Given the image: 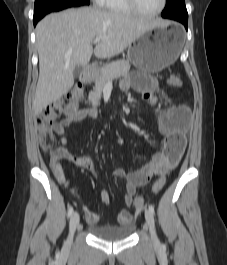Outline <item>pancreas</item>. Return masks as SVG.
I'll return each mask as SVG.
<instances>
[{
	"mask_svg": "<svg viewBox=\"0 0 227 265\" xmlns=\"http://www.w3.org/2000/svg\"><path fill=\"white\" fill-rule=\"evenodd\" d=\"M129 70H130V63L128 60L125 59L113 61L109 64L104 65L99 70L98 76L95 81V87L89 95L91 101L98 102L101 98V91L104 85L109 80L126 76Z\"/></svg>",
	"mask_w": 227,
	"mask_h": 265,
	"instance_id": "1",
	"label": "pancreas"
}]
</instances>
